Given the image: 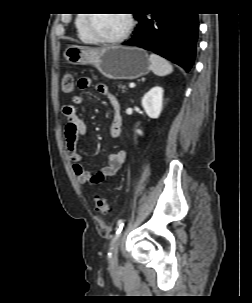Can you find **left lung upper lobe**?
<instances>
[{
    "label": "left lung upper lobe",
    "instance_id": "obj_1",
    "mask_svg": "<svg viewBox=\"0 0 252 303\" xmlns=\"http://www.w3.org/2000/svg\"><path fill=\"white\" fill-rule=\"evenodd\" d=\"M138 15H139V14H135V16H134V17H136V18H137V17H138Z\"/></svg>",
    "mask_w": 252,
    "mask_h": 303
}]
</instances>
